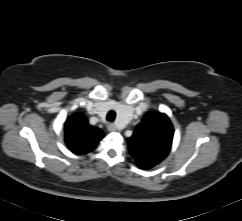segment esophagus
Segmentation results:
<instances>
[{
  "instance_id": "1",
  "label": "esophagus",
  "mask_w": 242,
  "mask_h": 221,
  "mask_svg": "<svg viewBox=\"0 0 242 221\" xmlns=\"http://www.w3.org/2000/svg\"><path fill=\"white\" fill-rule=\"evenodd\" d=\"M107 129L110 132H114L117 130V127L114 124H108Z\"/></svg>"
}]
</instances>
